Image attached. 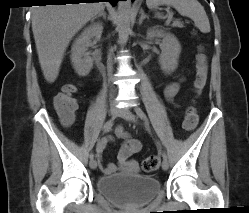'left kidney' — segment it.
<instances>
[{
  "label": "left kidney",
  "instance_id": "5707ae66",
  "mask_svg": "<svg viewBox=\"0 0 249 213\" xmlns=\"http://www.w3.org/2000/svg\"><path fill=\"white\" fill-rule=\"evenodd\" d=\"M148 38H162L160 44L161 54L159 64L165 72H172L178 67V59L181 52V45L178 39L171 33H166L161 29H149Z\"/></svg>",
  "mask_w": 249,
  "mask_h": 213
}]
</instances>
